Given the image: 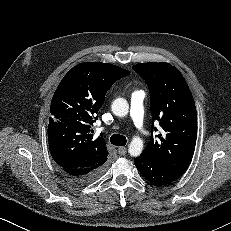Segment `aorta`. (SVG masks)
Segmentation results:
<instances>
[{"instance_id":"aorta-1","label":"aorta","mask_w":231,"mask_h":231,"mask_svg":"<svg viewBox=\"0 0 231 231\" xmlns=\"http://www.w3.org/2000/svg\"><path fill=\"white\" fill-rule=\"evenodd\" d=\"M112 112L118 117H124L129 112L128 102L124 98H117L112 103ZM143 151V141L140 137L134 136L129 144L128 153L133 156H139Z\"/></svg>"}]
</instances>
